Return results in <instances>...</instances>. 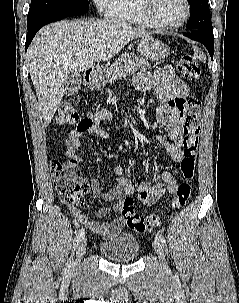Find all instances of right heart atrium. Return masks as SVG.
I'll return each instance as SVG.
<instances>
[{
  "instance_id": "obj_1",
  "label": "right heart atrium",
  "mask_w": 239,
  "mask_h": 303,
  "mask_svg": "<svg viewBox=\"0 0 239 303\" xmlns=\"http://www.w3.org/2000/svg\"><path fill=\"white\" fill-rule=\"evenodd\" d=\"M102 16L113 17L116 13L119 0H93Z\"/></svg>"
}]
</instances>
